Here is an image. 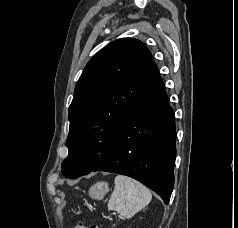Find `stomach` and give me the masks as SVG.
<instances>
[{
	"label": "stomach",
	"mask_w": 238,
	"mask_h": 228,
	"mask_svg": "<svg viewBox=\"0 0 238 228\" xmlns=\"http://www.w3.org/2000/svg\"><path fill=\"white\" fill-rule=\"evenodd\" d=\"M109 192V186L106 182H97L89 189V196L92 199L101 200Z\"/></svg>",
	"instance_id": "obj_1"
}]
</instances>
